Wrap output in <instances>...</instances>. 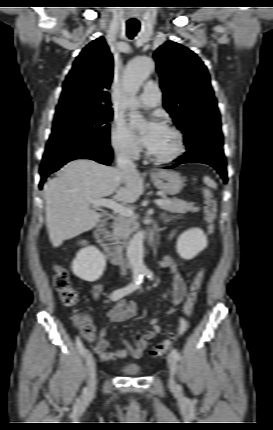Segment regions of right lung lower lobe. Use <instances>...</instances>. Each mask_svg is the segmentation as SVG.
<instances>
[{
    "label": "right lung lower lobe",
    "instance_id": "98d812e1",
    "mask_svg": "<svg viewBox=\"0 0 273 430\" xmlns=\"http://www.w3.org/2000/svg\"><path fill=\"white\" fill-rule=\"evenodd\" d=\"M112 157L111 149H82L73 152H69L53 159L43 161L40 167L41 181L39 183V188L42 189L43 182L46 177L57 171L65 163L74 159H92L99 163L110 165Z\"/></svg>",
    "mask_w": 273,
    "mask_h": 430
}]
</instances>
